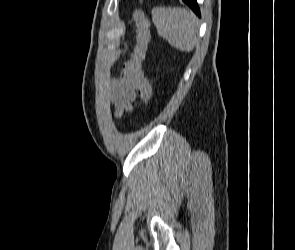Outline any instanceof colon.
Masks as SVG:
<instances>
[{
    "instance_id": "obj_1",
    "label": "colon",
    "mask_w": 295,
    "mask_h": 250,
    "mask_svg": "<svg viewBox=\"0 0 295 250\" xmlns=\"http://www.w3.org/2000/svg\"><path fill=\"white\" fill-rule=\"evenodd\" d=\"M134 22V44L128 60L123 65L121 77L131 83L137 94L149 103L153 89L143 74L142 63L150 41V22L141 12L134 14Z\"/></svg>"
}]
</instances>
